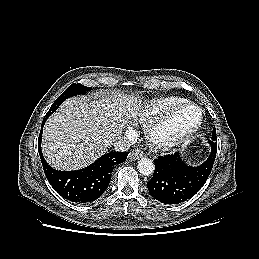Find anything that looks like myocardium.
Wrapping results in <instances>:
<instances>
[{"mask_svg": "<svg viewBox=\"0 0 259 259\" xmlns=\"http://www.w3.org/2000/svg\"><path fill=\"white\" fill-rule=\"evenodd\" d=\"M186 109L197 111L196 121L184 130L165 133V130L169 127L175 116ZM202 122V109L193 103L186 102L150 121L145 127V139L149 147L155 151H169L188 141L201 127Z\"/></svg>", "mask_w": 259, "mask_h": 259, "instance_id": "1", "label": "myocardium"}]
</instances>
